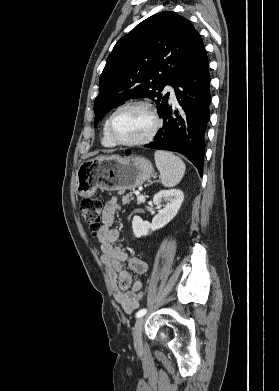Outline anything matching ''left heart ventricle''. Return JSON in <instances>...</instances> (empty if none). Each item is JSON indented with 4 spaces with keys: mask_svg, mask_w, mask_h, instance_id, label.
Listing matches in <instances>:
<instances>
[{
    "mask_svg": "<svg viewBox=\"0 0 279 391\" xmlns=\"http://www.w3.org/2000/svg\"><path fill=\"white\" fill-rule=\"evenodd\" d=\"M152 125V118L147 111L130 107L115 115L112 133L120 141H134L147 135Z\"/></svg>",
    "mask_w": 279,
    "mask_h": 391,
    "instance_id": "b2bd125f",
    "label": "left heart ventricle"
}]
</instances>
